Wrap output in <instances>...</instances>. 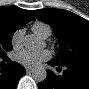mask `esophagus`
<instances>
[{"label": "esophagus", "mask_w": 89, "mask_h": 89, "mask_svg": "<svg viewBox=\"0 0 89 89\" xmlns=\"http://www.w3.org/2000/svg\"><path fill=\"white\" fill-rule=\"evenodd\" d=\"M32 71H33L32 68H30V67H27V68H26V72H27V73H31Z\"/></svg>", "instance_id": "1"}]
</instances>
